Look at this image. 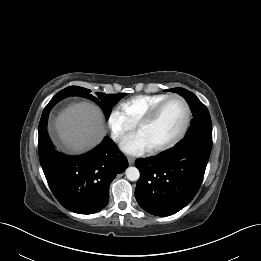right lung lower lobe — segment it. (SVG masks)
I'll list each match as a JSON object with an SVG mask.
<instances>
[{
	"instance_id": "98d812e1",
	"label": "right lung lower lobe",
	"mask_w": 261,
	"mask_h": 261,
	"mask_svg": "<svg viewBox=\"0 0 261 261\" xmlns=\"http://www.w3.org/2000/svg\"><path fill=\"white\" fill-rule=\"evenodd\" d=\"M52 107H45L38 129L39 158L49 187L66 209L78 214L96 213L107 205L109 185L128 167L127 158L109 137L81 156L58 152L47 133Z\"/></svg>"
}]
</instances>
